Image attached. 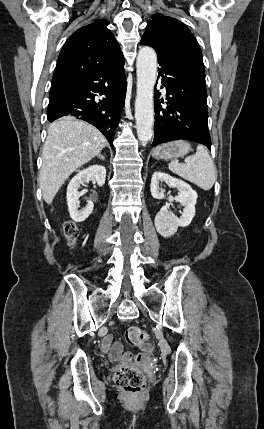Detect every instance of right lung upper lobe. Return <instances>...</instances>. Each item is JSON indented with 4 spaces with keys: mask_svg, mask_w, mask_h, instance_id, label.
Returning a JSON list of instances; mask_svg holds the SVG:
<instances>
[{
    "mask_svg": "<svg viewBox=\"0 0 264 429\" xmlns=\"http://www.w3.org/2000/svg\"><path fill=\"white\" fill-rule=\"evenodd\" d=\"M107 25L104 19L96 20L68 38L59 54L51 89L86 77L122 54Z\"/></svg>",
    "mask_w": 264,
    "mask_h": 429,
    "instance_id": "obj_1",
    "label": "right lung upper lobe"
}]
</instances>
